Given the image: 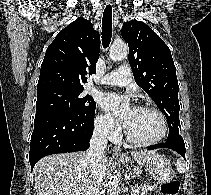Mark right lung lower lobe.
I'll return each mask as SVG.
<instances>
[{
    "mask_svg": "<svg viewBox=\"0 0 211 195\" xmlns=\"http://www.w3.org/2000/svg\"><path fill=\"white\" fill-rule=\"evenodd\" d=\"M94 113L95 110L84 116L59 112L37 114L29 153L31 168L50 154L87 150L93 135Z\"/></svg>",
    "mask_w": 211,
    "mask_h": 195,
    "instance_id": "1",
    "label": "right lung lower lobe"
}]
</instances>
